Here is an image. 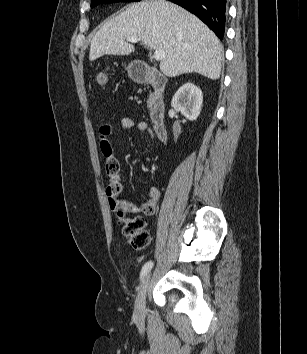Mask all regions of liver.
Segmentation results:
<instances>
[{
	"instance_id": "liver-1",
	"label": "liver",
	"mask_w": 307,
	"mask_h": 354,
	"mask_svg": "<svg viewBox=\"0 0 307 354\" xmlns=\"http://www.w3.org/2000/svg\"><path fill=\"white\" fill-rule=\"evenodd\" d=\"M135 36L152 49H162L160 70L168 77L199 73L209 79L220 77L222 46L217 36L195 15L165 0L131 4L110 19L93 36L89 60L103 55H130L127 43Z\"/></svg>"
}]
</instances>
